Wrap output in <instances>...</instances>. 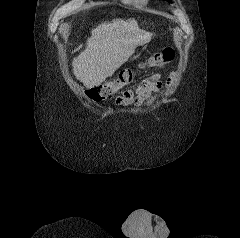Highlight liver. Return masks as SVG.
<instances>
[{
  "instance_id": "1",
  "label": "liver",
  "mask_w": 240,
  "mask_h": 238,
  "mask_svg": "<svg viewBox=\"0 0 240 238\" xmlns=\"http://www.w3.org/2000/svg\"><path fill=\"white\" fill-rule=\"evenodd\" d=\"M151 37L135 20L116 19L100 24L92 30L85 49L73 59L75 77L87 88L100 85Z\"/></svg>"
}]
</instances>
